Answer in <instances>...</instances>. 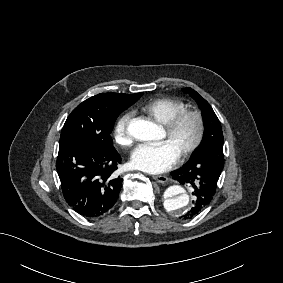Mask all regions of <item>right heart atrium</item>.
Segmentation results:
<instances>
[{
  "instance_id": "obj_1",
  "label": "right heart atrium",
  "mask_w": 283,
  "mask_h": 283,
  "mask_svg": "<svg viewBox=\"0 0 283 283\" xmlns=\"http://www.w3.org/2000/svg\"><path fill=\"white\" fill-rule=\"evenodd\" d=\"M132 119L130 111H124L119 115L112 128V138L116 145L128 149L132 145V137L129 132V124Z\"/></svg>"
}]
</instances>
